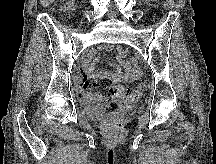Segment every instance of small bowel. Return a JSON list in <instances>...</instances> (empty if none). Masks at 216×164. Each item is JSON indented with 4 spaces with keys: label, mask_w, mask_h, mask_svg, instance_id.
I'll return each instance as SVG.
<instances>
[{
    "label": "small bowel",
    "mask_w": 216,
    "mask_h": 164,
    "mask_svg": "<svg viewBox=\"0 0 216 164\" xmlns=\"http://www.w3.org/2000/svg\"><path fill=\"white\" fill-rule=\"evenodd\" d=\"M118 62L113 66L112 71L95 70L94 61L88 60L84 66L76 72L75 83L78 95L86 110L94 115H102L104 111L115 109L114 102H106L104 96L99 92H92L89 87L95 86L103 79L111 82H127L135 79L139 72L132 64L124 60V50L117 47ZM124 69V73L121 71ZM90 79L92 82H90Z\"/></svg>",
    "instance_id": "c3829d8e"
}]
</instances>
